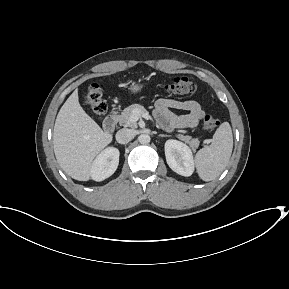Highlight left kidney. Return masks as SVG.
Instances as JSON below:
<instances>
[{"label": "left kidney", "mask_w": 289, "mask_h": 289, "mask_svg": "<svg viewBox=\"0 0 289 289\" xmlns=\"http://www.w3.org/2000/svg\"><path fill=\"white\" fill-rule=\"evenodd\" d=\"M165 156L169 167L179 175L188 177L194 172L193 152L186 144L178 140H167Z\"/></svg>", "instance_id": "left-kidney-1"}]
</instances>
